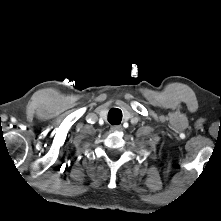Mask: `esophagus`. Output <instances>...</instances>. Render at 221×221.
Wrapping results in <instances>:
<instances>
[{"instance_id":"34e87169","label":"esophagus","mask_w":221,"mask_h":221,"mask_svg":"<svg viewBox=\"0 0 221 221\" xmlns=\"http://www.w3.org/2000/svg\"><path fill=\"white\" fill-rule=\"evenodd\" d=\"M123 130V127L121 125H114L111 127L112 132H121Z\"/></svg>"}]
</instances>
